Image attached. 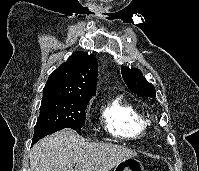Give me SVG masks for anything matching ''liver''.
<instances>
[{
  "mask_svg": "<svg viewBox=\"0 0 199 171\" xmlns=\"http://www.w3.org/2000/svg\"><path fill=\"white\" fill-rule=\"evenodd\" d=\"M136 155L123 146L87 142L72 129H63L33 146L30 171H110Z\"/></svg>",
  "mask_w": 199,
  "mask_h": 171,
  "instance_id": "liver-1",
  "label": "liver"
}]
</instances>
